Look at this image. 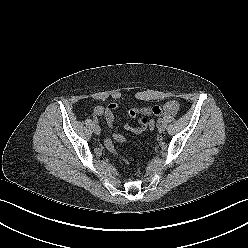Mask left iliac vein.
<instances>
[{
  "instance_id": "left-iliac-vein-1",
  "label": "left iliac vein",
  "mask_w": 248,
  "mask_h": 248,
  "mask_svg": "<svg viewBox=\"0 0 248 248\" xmlns=\"http://www.w3.org/2000/svg\"><path fill=\"white\" fill-rule=\"evenodd\" d=\"M157 128H158L159 133H164V131H165V126L164 125L159 124Z\"/></svg>"
}]
</instances>
